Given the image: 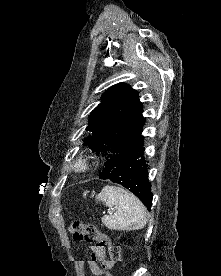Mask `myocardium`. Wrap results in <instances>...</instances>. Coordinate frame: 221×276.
Returning a JSON list of instances; mask_svg holds the SVG:
<instances>
[{"label":"myocardium","instance_id":"1","mask_svg":"<svg viewBox=\"0 0 221 276\" xmlns=\"http://www.w3.org/2000/svg\"><path fill=\"white\" fill-rule=\"evenodd\" d=\"M90 166V160L86 155H78L73 162V168L78 172H85Z\"/></svg>","mask_w":221,"mask_h":276}]
</instances>
